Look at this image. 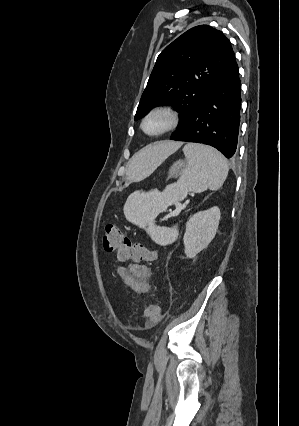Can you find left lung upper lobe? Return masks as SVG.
I'll return each mask as SVG.
<instances>
[{
    "mask_svg": "<svg viewBox=\"0 0 299 426\" xmlns=\"http://www.w3.org/2000/svg\"><path fill=\"white\" fill-rule=\"evenodd\" d=\"M233 57L231 43L221 31L208 25L186 31L158 56L135 120L156 105L173 104L180 124L172 135L178 133Z\"/></svg>",
    "mask_w": 299,
    "mask_h": 426,
    "instance_id": "5c2ea615",
    "label": "left lung upper lobe"
}]
</instances>
